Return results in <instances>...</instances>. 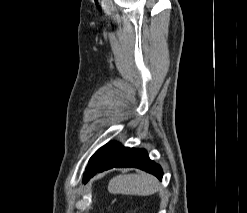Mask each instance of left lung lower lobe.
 I'll return each instance as SVG.
<instances>
[{"label": "left lung lower lobe", "instance_id": "1", "mask_svg": "<svg viewBox=\"0 0 247 213\" xmlns=\"http://www.w3.org/2000/svg\"><path fill=\"white\" fill-rule=\"evenodd\" d=\"M114 167L139 168L162 180V168L149 159L145 149L128 148L123 147L120 143L110 142L97 150L90 158L83 181L86 183L97 172Z\"/></svg>", "mask_w": 247, "mask_h": 213}]
</instances>
